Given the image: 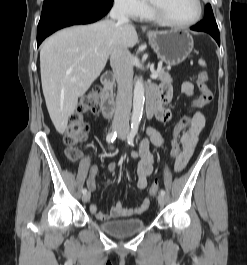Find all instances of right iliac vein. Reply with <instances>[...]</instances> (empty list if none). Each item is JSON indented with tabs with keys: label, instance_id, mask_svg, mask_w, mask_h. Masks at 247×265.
<instances>
[{
	"label": "right iliac vein",
	"instance_id": "right-iliac-vein-1",
	"mask_svg": "<svg viewBox=\"0 0 247 265\" xmlns=\"http://www.w3.org/2000/svg\"><path fill=\"white\" fill-rule=\"evenodd\" d=\"M113 130H114V131H118L119 129L114 128ZM90 197H91L90 192H86V193L83 194V196H82V201H83L84 203H86V202H88V201L90 200Z\"/></svg>",
	"mask_w": 247,
	"mask_h": 265
}]
</instances>
